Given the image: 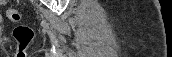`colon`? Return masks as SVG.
<instances>
[{
  "label": "colon",
  "mask_w": 172,
  "mask_h": 57,
  "mask_svg": "<svg viewBox=\"0 0 172 57\" xmlns=\"http://www.w3.org/2000/svg\"><path fill=\"white\" fill-rule=\"evenodd\" d=\"M6 17L11 21H18L20 19V14L15 9H8L6 11ZM13 36L17 43V50L15 52V57H26L27 48L34 37L33 28L28 25H18L13 30Z\"/></svg>",
  "instance_id": "obj_1"
}]
</instances>
